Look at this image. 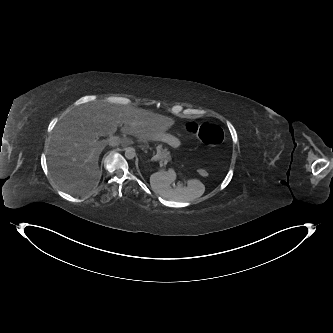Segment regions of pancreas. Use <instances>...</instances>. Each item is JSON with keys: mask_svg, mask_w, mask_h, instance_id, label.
Instances as JSON below:
<instances>
[{"mask_svg": "<svg viewBox=\"0 0 333 333\" xmlns=\"http://www.w3.org/2000/svg\"><path fill=\"white\" fill-rule=\"evenodd\" d=\"M154 161L158 162H170L171 161V155L170 151H168L167 148H163L162 145H158L156 147V155L154 156ZM179 175H182V173H178Z\"/></svg>", "mask_w": 333, "mask_h": 333, "instance_id": "1", "label": "pancreas"}]
</instances>
